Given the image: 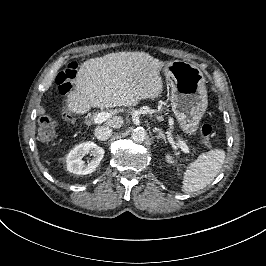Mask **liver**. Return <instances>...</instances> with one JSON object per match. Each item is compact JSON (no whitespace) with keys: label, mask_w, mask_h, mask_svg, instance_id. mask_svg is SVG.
Masks as SVG:
<instances>
[{"label":"liver","mask_w":266,"mask_h":266,"mask_svg":"<svg viewBox=\"0 0 266 266\" xmlns=\"http://www.w3.org/2000/svg\"><path fill=\"white\" fill-rule=\"evenodd\" d=\"M166 60L145 51H119L83 61L74 78L75 90L64 98L72 115H85L91 108L137 107L155 101L165 90L162 76ZM125 124V114L112 112L102 126L114 130Z\"/></svg>","instance_id":"obj_1"}]
</instances>
